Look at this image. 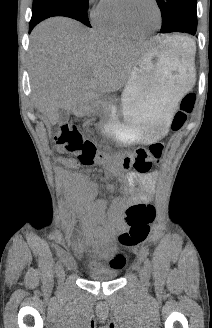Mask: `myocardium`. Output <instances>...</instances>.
<instances>
[{
  "label": "myocardium",
  "mask_w": 212,
  "mask_h": 328,
  "mask_svg": "<svg viewBox=\"0 0 212 328\" xmlns=\"http://www.w3.org/2000/svg\"><path fill=\"white\" fill-rule=\"evenodd\" d=\"M128 0H120L119 3V13H120V17L121 20L123 22V24L132 32L139 34V35H144V34H149L151 32L156 31L157 29L160 28L161 24H162V10L160 7V4L158 3V0H151V2L153 3V5L156 8L157 14H158V24L149 30H142L137 28L130 20L129 16H128V12H127V4Z\"/></svg>",
  "instance_id": "1"
}]
</instances>
